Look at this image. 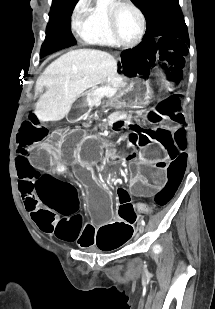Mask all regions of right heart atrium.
Wrapping results in <instances>:
<instances>
[{
    "label": "right heart atrium",
    "instance_id": "1",
    "mask_svg": "<svg viewBox=\"0 0 215 309\" xmlns=\"http://www.w3.org/2000/svg\"><path fill=\"white\" fill-rule=\"evenodd\" d=\"M76 18H77V13H74V15H73V21H75Z\"/></svg>",
    "mask_w": 215,
    "mask_h": 309
}]
</instances>
